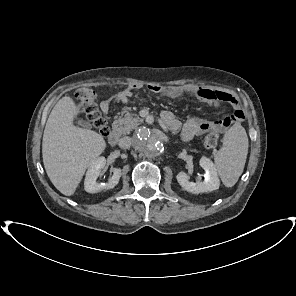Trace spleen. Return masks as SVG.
Masks as SVG:
<instances>
[{
  "instance_id": "3e777b00",
  "label": "spleen",
  "mask_w": 296,
  "mask_h": 296,
  "mask_svg": "<svg viewBox=\"0 0 296 296\" xmlns=\"http://www.w3.org/2000/svg\"><path fill=\"white\" fill-rule=\"evenodd\" d=\"M248 145L247 133L238 123L224 134L222 146L216 152L214 161L218 174L226 187L234 186L243 173Z\"/></svg>"
}]
</instances>
